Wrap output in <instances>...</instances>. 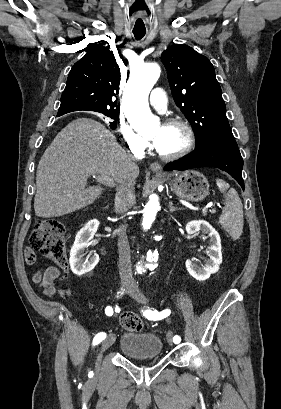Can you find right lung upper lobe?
<instances>
[{
	"mask_svg": "<svg viewBox=\"0 0 281 409\" xmlns=\"http://www.w3.org/2000/svg\"><path fill=\"white\" fill-rule=\"evenodd\" d=\"M119 81L120 69L113 53L95 46L73 65L57 116L73 111H116L112 97L118 92Z\"/></svg>",
	"mask_w": 281,
	"mask_h": 409,
	"instance_id": "1",
	"label": "right lung upper lobe"
}]
</instances>
